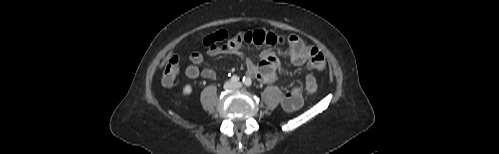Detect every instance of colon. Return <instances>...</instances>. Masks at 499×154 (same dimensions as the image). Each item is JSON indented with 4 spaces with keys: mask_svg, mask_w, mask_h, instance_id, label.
I'll list each match as a JSON object with an SVG mask.
<instances>
[{
    "mask_svg": "<svg viewBox=\"0 0 499 154\" xmlns=\"http://www.w3.org/2000/svg\"><path fill=\"white\" fill-rule=\"evenodd\" d=\"M180 58L177 55L171 56L162 66V83L171 86L179 72ZM305 89L309 94H315L318 90V83L313 75H308L305 80Z\"/></svg>",
    "mask_w": 499,
    "mask_h": 154,
    "instance_id": "colon-1",
    "label": "colon"
}]
</instances>
